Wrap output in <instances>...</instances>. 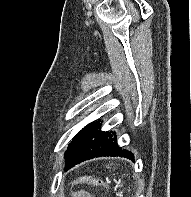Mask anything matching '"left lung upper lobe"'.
I'll list each match as a JSON object with an SVG mask.
<instances>
[{"instance_id":"obj_1","label":"left lung upper lobe","mask_w":191,"mask_h":197,"mask_svg":"<svg viewBox=\"0 0 191 197\" xmlns=\"http://www.w3.org/2000/svg\"><path fill=\"white\" fill-rule=\"evenodd\" d=\"M71 153H72V145H69V146H68V151L65 153L66 158H69L70 155H71Z\"/></svg>"}]
</instances>
